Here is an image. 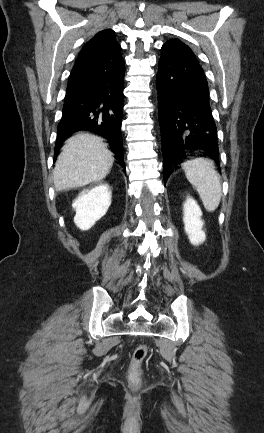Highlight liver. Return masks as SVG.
I'll list each match as a JSON object with an SVG mask.
<instances>
[{
    "label": "liver",
    "instance_id": "1",
    "mask_svg": "<svg viewBox=\"0 0 264 433\" xmlns=\"http://www.w3.org/2000/svg\"><path fill=\"white\" fill-rule=\"evenodd\" d=\"M113 162V154L100 137L77 133L66 141L55 163V189L62 191L99 182Z\"/></svg>",
    "mask_w": 264,
    "mask_h": 433
}]
</instances>
